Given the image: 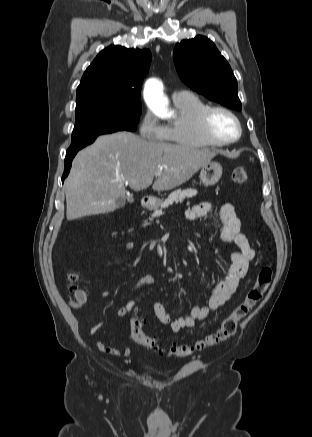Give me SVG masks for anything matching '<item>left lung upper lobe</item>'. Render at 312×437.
Returning a JSON list of instances; mask_svg holds the SVG:
<instances>
[{
	"label": "left lung upper lobe",
	"mask_w": 312,
	"mask_h": 437,
	"mask_svg": "<svg viewBox=\"0 0 312 437\" xmlns=\"http://www.w3.org/2000/svg\"><path fill=\"white\" fill-rule=\"evenodd\" d=\"M174 63L180 78L192 90L228 108L241 110L236 78L210 39L196 36L176 44Z\"/></svg>",
	"instance_id": "1"
}]
</instances>
